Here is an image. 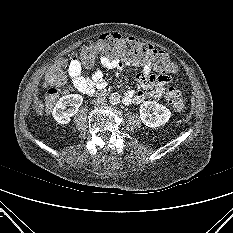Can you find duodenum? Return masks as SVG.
<instances>
[{"label":"duodenum","mask_w":233,"mask_h":233,"mask_svg":"<svg viewBox=\"0 0 233 233\" xmlns=\"http://www.w3.org/2000/svg\"><path fill=\"white\" fill-rule=\"evenodd\" d=\"M99 94H100V95H105V94H106V91H105V90H100Z\"/></svg>","instance_id":"duodenum-1"}]
</instances>
